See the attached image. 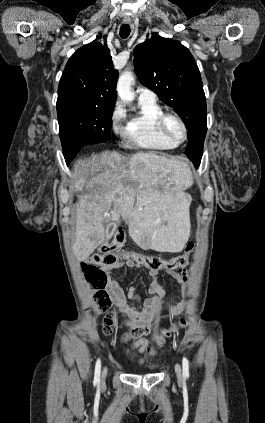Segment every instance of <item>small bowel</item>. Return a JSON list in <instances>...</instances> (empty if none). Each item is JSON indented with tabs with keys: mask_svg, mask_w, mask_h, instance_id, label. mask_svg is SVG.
Instances as JSON below:
<instances>
[{
	"mask_svg": "<svg viewBox=\"0 0 265 423\" xmlns=\"http://www.w3.org/2000/svg\"><path fill=\"white\" fill-rule=\"evenodd\" d=\"M123 267H127L129 269H139L142 265L131 259H119L114 264L105 265L102 269L107 280L106 289L111 301L119 309L121 323L132 330V337H140L155 322L166 318L165 316H160L158 314V311L162 306V298L164 297L165 292L156 280L158 273L149 272L151 283L147 291L151 295L150 298L142 299L136 293L133 285H131L128 288L127 293L124 294L114 277V273ZM169 272L178 282L184 286L187 284L188 274L183 268ZM127 299L141 304L142 307L138 308L128 305ZM184 309L185 303H181L170 310V315H178L183 312ZM125 339H129V337L126 336ZM145 344V340L140 338L136 342L135 347L142 349Z\"/></svg>",
	"mask_w": 265,
	"mask_h": 423,
	"instance_id": "1",
	"label": "small bowel"
}]
</instances>
